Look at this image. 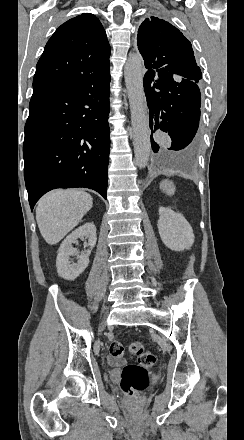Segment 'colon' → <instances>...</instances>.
<instances>
[{"label":"colon","mask_w":244,"mask_h":440,"mask_svg":"<svg viewBox=\"0 0 244 440\" xmlns=\"http://www.w3.org/2000/svg\"><path fill=\"white\" fill-rule=\"evenodd\" d=\"M110 355L120 358L124 355V346L119 341H111L108 344ZM128 352L137 358V364H130L124 367L121 375L120 386L123 393L132 401H137L139 395L150 385V372L148 368L156 362L155 355L146 350L140 341L129 344ZM131 408H136V403H131Z\"/></svg>","instance_id":"5ec220e1"}]
</instances>
